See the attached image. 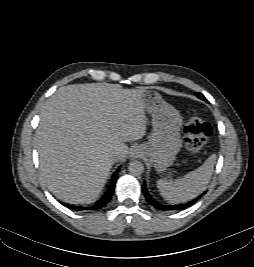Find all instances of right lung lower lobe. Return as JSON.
Instances as JSON below:
<instances>
[{"label":"right lung lower lobe","mask_w":254,"mask_h":267,"mask_svg":"<svg viewBox=\"0 0 254 267\" xmlns=\"http://www.w3.org/2000/svg\"><path fill=\"white\" fill-rule=\"evenodd\" d=\"M117 173H118V170L113 174L110 189H109L106 197L104 198V200L101 203H99L95 206H92V207H81V206H71V205H66V206L73 209V210H78V211L79 210H94V209H98V208L105 206L110 201V199L114 193L115 183H116V179H117Z\"/></svg>","instance_id":"right-lung-lower-lobe-1"}]
</instances>
